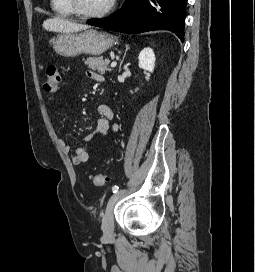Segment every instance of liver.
I'll return each mask as SVG.
<instances>
[{"label": "liver", "instance_id": "6515ba94", "mask_svg": "<svg viewBox=\"0 0 255 272\" xmlns=\"http://www.w3.org/2000/svg\"><path fill=\"white\" fill-rule=\"evenodd\" d=\"M43 28L52 32L74 33L89 28L88 25L78 24L61 17L49 18L43 22Z\"/></svg>", "mask_w": 255, "mask_h": 272}]
</instances>
